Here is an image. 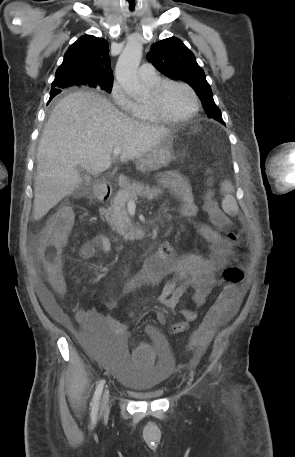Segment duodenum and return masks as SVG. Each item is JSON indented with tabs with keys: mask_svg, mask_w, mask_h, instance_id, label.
<instances>
[{
	"mask_svg": "<svg viewBox=\"0 0 295 457\" xmlns=\"http://www.w3.org/2000/svg\"><path fill=\"white\" fill-rule=\"evenodd\" d=\"M95 196L100 202H106L111 198V191L107 187H98Z\"/></svg>",
	"mask_w": 295,
	"mask_h": 457,
	"instance_id": "410a0bca",
	"label": "duodenum"
}]
</instances>
